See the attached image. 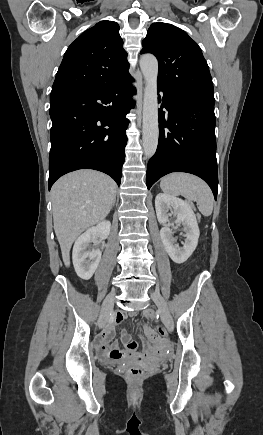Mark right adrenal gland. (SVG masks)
Listing matches in <instances>:
<instances>
[{"label": "right adrenal gland", "instance_id": "2a0ac1e0", "mask_svg": "<svg viewBox=\"0 0 263 435\" xmlns=\"http://www.w3.org/2000/svg\"><path fill=\"white\" fill-rule=\"evenodd\" d=\"M114 205H115V201L113 202L112 206H114Z\"/></svg>", "mask_w": 263, "mask_h": 435}]
</instances>
